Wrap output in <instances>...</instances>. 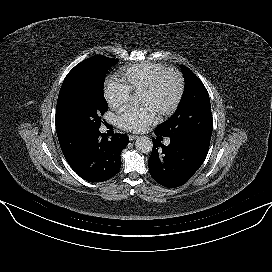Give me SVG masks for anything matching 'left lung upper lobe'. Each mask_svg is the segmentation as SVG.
<instances>
[{"mask_svg":"<svg viewBox=\"0 0 272 272\" xmlns=\"http://www.w3.org/2000/svg\"><path fill=\"white\" fill-rule=\"evenodd\" d=\"M185 91L178 110L156 131L166 137H190L210 141L213 119L208 92L200 79L181 65Z\"/></svg>","mask_w":272,"mask_h":272,"instance_id":"left-lung-upper-lobe-1","label":"left lung upper lobe"}]
</instances>
